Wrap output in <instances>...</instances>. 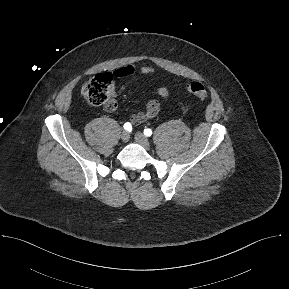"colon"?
Returning <instances> with one entry per match:
<instances>
[{
	"instance_id": "5ec220e1",
	"label": "colon",
	"mask_w": 289,
	"mask_h": 289,
	"mask_svg": "<svg viewBox=\"0 0 289 289\" xmlns=\"http://www.w3.org/2000/svg\"><path fill=\"white\" fill-rule=\"evenodd\" d=\"M112 75L109 73L97 74L87 80L82 86L84 98L92 105L103 106L112 111L117 107L116 100L111 96ZM187 90L194 96L204 99L208 96L206 87L198 81L187 84Z\"/></svg>"
}]
</instances>
